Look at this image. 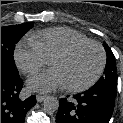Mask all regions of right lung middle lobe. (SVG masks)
Returning <instances> with one entry per match:
<instances>
[{"mask_svg": "<svg viewBox=\"0 0 123 123\" xmlns=\"http://www.w3.org/2000/svg\"><path fill=\"white\" fill-rule=\"evenodd\" d=\"M32 28V23L11 25L1 28V70L19 75L13 62L14 45Z\"/></svg>", "mask_w": 123, "mask_h": 123, "instance_id": "1", "label": "right lung middle lobe"}]
</instances>
